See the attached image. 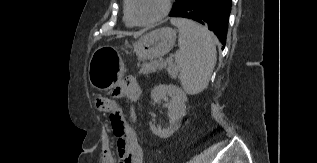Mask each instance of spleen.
Segmentation results:
<instances>
[{
    "label": "spleen",
    "instance_id": "spleen-1",
    "mask_svg": "<svg viewBox=\"0 0 317 163\" xmlns=\"http://www.w3.org/2000/svg\"><path fill=\"white\" fill-rule=\"evenodd\" d=\"M170 21L179 30V50L175 54L179 79L188 94H198L207 87L216 64L214 36L192 20L172 18Z\"/></svg>",
    "mask_w": 317,
    "mask_h": 163
}]
</instances>
